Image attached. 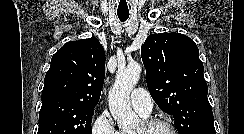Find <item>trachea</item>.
I'll return each instance as SVG.
<instances>
[{"label":"trachea","mask_w":244,"mask_h":134,"mask_svg":"<svg viewBox=\"0 0 244 134\" xmlns=\"http://www.w3.org/2000/svg\"><path fill=\"white\" fill-rule=\"evenodd\" d=\"M120 21L125 22L129 18V12L128 13H117Z\"/></svg>","instance_id":"3493384b"}]
</instances>
